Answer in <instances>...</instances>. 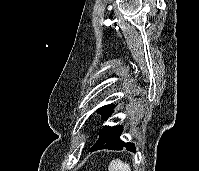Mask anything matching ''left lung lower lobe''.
Here are the masks:
<instances>
[{"label": "left lung lower lobe", "instance_id": "left-lung-lower-lobe-1", "mask_svg": "<svg viewBox=\"0 0 199 171\" xmlns=\"http://www.w3.org/2000/svg\"><path fill=\"white\" fill-rule=\"evenodd\" d=\"M122 131V126H104L100 132L99 139L90 151L94 152L100 149L122 150L123 147H126L129 151H135L133 143H125L120 140Z\"/></svg>", "mask_w": 199, "mask_h": 171}]
</instances>
